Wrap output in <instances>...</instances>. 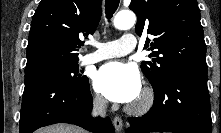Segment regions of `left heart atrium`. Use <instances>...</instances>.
Here are the masks:
<instances>
[{
    "instance_id": "39dd6f15",
    "label": "left heart atrium",
    "mask_w": 221,
    "mask_h": 133,
    "mask_svg": "<svg viewBox=\"0 0 221 133\" xmlns=\"http://www.w3.org/2000/svg\"><path fill=\"white\" fill-rule=\"evenodd\" d=\"M95 89L114 102L130 103L141 94V79L137 69L121 62L101 66L94 76Z\"/></svg>"
}]
</instances>
